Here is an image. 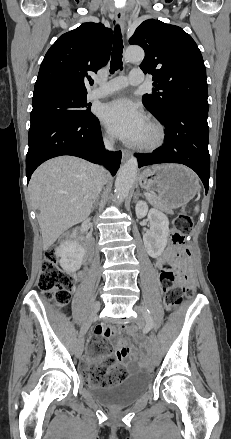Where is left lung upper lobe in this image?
Wrapping results in <instances>:
<instances>
[{
	"instance_id": "left-lung-upper-lobe-1",
	"label": "left lung upper lobe",
	"mask_w": 231,
	"mask_h": 439,
	"mask_svg": "<svg viewBox=\"0 0 231 439\" xmlns=\"http://www.w3.org/2000/svg\"><path fill=\"white\" fill-rule=\"evenodd\" d=\"M129 43L145 51L140 68L153 75L154 88L152 94L143 95L142 102L155 117L179 101H207L206 68L201 52L182 28L148 19L137 27Z\"/></svg>"
}]
</instances>
